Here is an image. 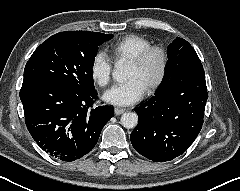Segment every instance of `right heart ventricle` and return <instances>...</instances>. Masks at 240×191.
Instances as JSON below:
<instances>
[{"label": "right heart ventricle", "mask_w": 240, "mask_h": 191, "mask_svg": "<svg viewBox=\"0 0 240 191\" xmlns=\"http://www.w3.org/2000/svg\"><path fill=\"white\" fill-rule=\"evenodd\" d=\"M151 45L150 40L139 35H127L110 46V52L116 61L130 60Z\"/></svg>", "instance_id": "e07e8e85"}]
</instances>
